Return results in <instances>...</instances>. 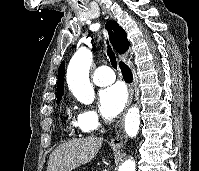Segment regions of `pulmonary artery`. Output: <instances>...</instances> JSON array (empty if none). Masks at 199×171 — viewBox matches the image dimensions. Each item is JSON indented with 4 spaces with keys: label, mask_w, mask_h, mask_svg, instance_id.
Returning a JSON list of instances; mask_svg holds the SVG:
<instances>
[{
    "label": "pulmonary artery",
    "mask_w": 199,
    "mask_h": 171,
    "mask_svg": "<svg viewBox=\"0 0 199 171\" xmlns=\"http://www.w3.org/2000/svg\"><path fill=\"white\" fill-rule=\"evenodd\" d=\"M92 79L94 84L106 86L115 80V74L108 66H101L94 72Z\"/></svg>",
    "instance_id": "obj_1"
}]
</instances>
